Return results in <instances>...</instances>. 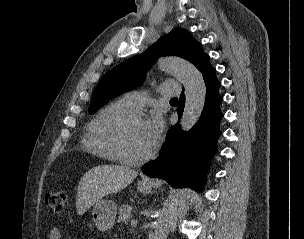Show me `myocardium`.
Wrapping results in <instances>:
<instances>
[{
    "instance_id": "myocardium-1",
    "label": "myocardium",
    "mask_w": 304,
    "mask_h": 239,
    "mask_svg": "<svg viewBox=\"0 0 304 239\" xmlns=\"http://www.w3.org/2000/svg\"><path fill=\"white\" fill-rule=\"evenodd\" d=\"M135 122H143L142 116L139 114L129 115L118 122L112 130L111 145L118 162L129 165H136L149 160L153 155L152 149H150L146 154L137 157H131L124 153L122 148V140L124 134L127 129Z\"/></svg>"
}]
</instances>
